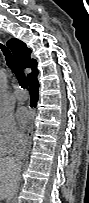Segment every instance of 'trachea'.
<instances>
[{"label": "trachea", "instance_id": "obj_1", "mask_svg": "<svg viewBox=\"0 0 89 203\" xmlns=\"http://www.w3.org/2000/svg\"><path fill=\"white\" fill-rule=\"evenodd\" d=\"M0 48L5 56L8 67L17 76L20 86L22 88H28V82L25 77V74H24L23 70L21 69V67L18 65V63L16 62L14 56L11 54V52L9 51V49L6 46L0 44Z\"/></svg>", "mask_w": 89, "mask_h": 203}]
</instances>
